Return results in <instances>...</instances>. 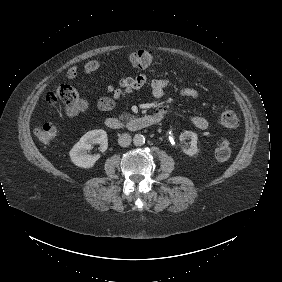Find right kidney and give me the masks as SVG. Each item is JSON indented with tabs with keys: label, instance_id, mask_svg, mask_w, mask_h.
<instances>
[{
	"label": "right kidney",
	"instance_id": "obj_1",
	"mask_svg": "<svg viewBox=\"0 0 282 282\" xmlns=\"http://www.w3.org/2000/svg\"><path fill=\"white\" fill-rule=\"evenodd\" d=\"M100 144L101 151L108 148V137L106 131L95 129L84 134L80 140L70 149L69 157L73 165L82 169L93 168L99 156L87 154L92 145Z\"/></svg>",
	"mask_w": 282,
	"mask_h": 282
}]
</instances>
